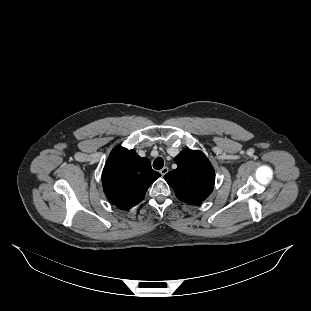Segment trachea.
<instances>
[{"instance_id":"obj_1","label":"trachea","mask_w":311,"mask_h":311,"mask_svg":"<svg viewBox=\"0 0 311 311\" xmlns=\"http://www.w3.org/2000/svg\"><path fill=\"white\" fill-rule=\"evenodd\" d=\"M164 165V160L161 157H157L153 162V167L156 170L162 169Z\"/></svg>"}]
</instances>
